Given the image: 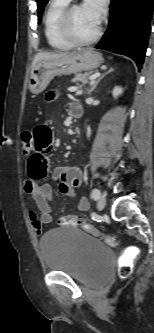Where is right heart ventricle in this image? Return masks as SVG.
I'll return each mask as SVG.
<instances>
[{
    "label": "right heart ventricle",
    "instance_id": "right-heart-ventricle-1",
    "mask_svg": "<svg viewBox=\"0 0 154 333\" xmlns=\"http://www.w3.org/2000/svg\"><path fill=\"white\" fill-rule=\"evenodd\" d=\"M70 1L71 0H50L44 14V35L49 46L55 50L66 51L75 46L67 41L59 30L61 13Z\"/></svg>",
    "mask_w": 154,
    "mask_h": 333
}]
</instances>
